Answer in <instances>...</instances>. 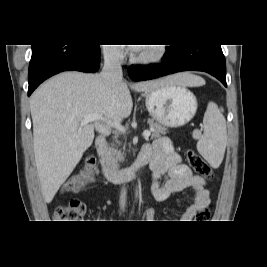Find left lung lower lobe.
I'll return each mask as SVG.
<instances>
[{
	"instance_id": "left-lung-lower-lobe-1",
	"label": "left lung lower lobe",
	"mask_w": 267,
	"mask_h": 267,
	"mask_svg": "<svg viewBox=\"0 0 267 267\" xmlns=\"http://www.w3.org/2000/svg\"><path fill=\"white\" fill-rule=\"evenodd\" d=\"M181 71L207 72L224 86L226 84V64L220 45L171 44L164 54V61L157 65L130 66L129 76L135 81H143Z\"/></svg>"
}]
</instances>
